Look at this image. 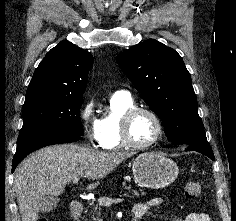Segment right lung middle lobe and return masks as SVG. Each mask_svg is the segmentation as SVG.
Wrapping results in <instances>:
<instances>
[{
  "instance_id": "right-lung-middle-lobe-1",
  "label": "right lung middle lobe",
  "mask_w": 236,
  "mask_h": 221,
  "mask_svg": "<svg viewBox=\"0 0 236 221\" xmlns=\"http://www.w3.org/2000/svg\"><path fill=\"white\" fill-rule=\"evenodd\" d=\"M82 96L36 93L26 95L23 127L18 139L38 133L83 136L80 121Z\"/></svg>"
}]
</instances>
